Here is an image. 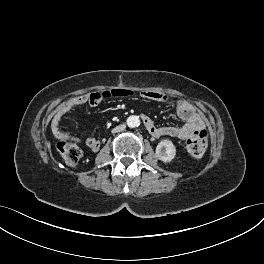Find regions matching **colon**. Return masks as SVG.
Masks as SVG:
<instances>
[{"instance_id": "5ec220e1", "label": "colon", "mask_w": 264, "mask_h": 264, "mask_svg": "<svg viewBox=\"0 0 264 264\" xmlns=\"http://www.w3.org/2000/svg\"><path fill=\"white\" fill-rule=\"evenodd\" d=\"M126 91H117L114 95H126ZM109 96L108 92L105 93H92L90 95V101L96 102L101 100L103 97ZM57 150L63 160L69 165H75L79 162L82 156V151L76 144L67 142L65 140H60L57 143ZM207 147V133L205 130L201 129L196 132L190 139L186 142V150L193 157H201L205 152Z\"/></svg>"}]
</instances>
